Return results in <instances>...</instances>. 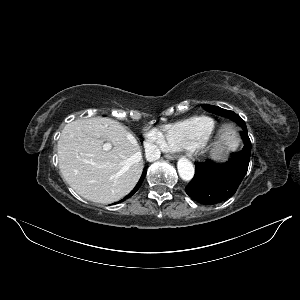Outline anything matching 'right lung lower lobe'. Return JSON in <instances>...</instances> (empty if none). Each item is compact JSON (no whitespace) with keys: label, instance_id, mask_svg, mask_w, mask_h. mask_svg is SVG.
Listing matches in <instances>:
<instances>
[{"label":"right lung lower lobe","instance_id":"right-lung-lower-lobe-1","mask_svg":"<svg viewBox=\"0 0 300 300\" xmlns=\"http://www.w3.org/2000/svg\"><path fill=\"white\" fill-rule=\"evenodd\" d=\"M145 175H146V167L144 168L143 173H142V176H141V178L139 179V181H138V183H137V185H136V186H137V190H138L139 187L141 186V184H142V182H143V180H144V178H145ZM136 186H135V187H136ZM134 189H135V188H134ZM134 189H133V190H134ZM133 190H132V191H133ZM132 191H131V192H132ZM131 192H130L124 199H122V201L125 200V199H127V198H129V197H131V196L134 194V193L131 194Z\"/></svg>","mask_w":300,"mask_h":300}]
</instances>
